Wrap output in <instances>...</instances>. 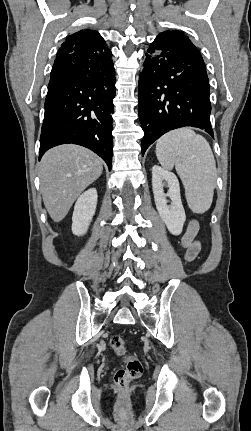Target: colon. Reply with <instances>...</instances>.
Instances as JSON below:
<instances>
[{
    "instance_id": "5ec220e1",
    "label": "colon",
    "mask_w": 251,
    "mask_h": 431,
    "mask_svg": "<svg viewBox=\"0 0 251 431\" xmlns=\"http://www.w3.org/2000/svg\"><path fill=\"white\" fill-rule=\"evenodd\" d=\"M110 346L117 355L122 356L126 352L125 341L119 335L111 338ZM124 363L125 365L118 369L114 375L115 384L122 391H126L130 382L139 378L143 373V365L138 357L133 355L126 356Z\"/></svg>"
}]
</instances>
